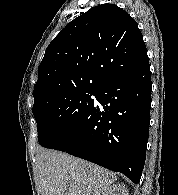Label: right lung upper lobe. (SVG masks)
Masks as SVG:
<instances>
[{
	"label": "right lung upper lobe",
	"instance_id": "1",
	"mask_svg": "<svg viewBox=\"0 0 178 195\" xmlns=\"http://www.w3.org/2000/svg\"><path fill=\"white\" fill-rule=\"evenodd\" d=\"M147 62L136 21L115 4L93 7L68 23L47 47L33 91L34 107L76 91H97Z\"/></svg>",
	"mask_w": 178,
	"mask_h": 195
}]
</instances>
